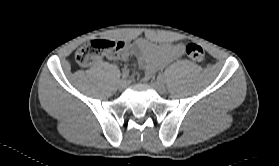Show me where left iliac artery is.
<instances>
[{
    "label": "left iliac artery",
    "instance_id": "44dca946",
    "mask_svg": "<svg viewBox=\"0 0 279 166\" xmlns=\"http://www.w3.org/2000/svg\"><path fill=\"white\" fill-rule=\"evenodd\" d=\"M164 78L165 77H164L163 74H159L157 79L160 80V81H164Z\"/></svg>",
    "mask_w": 279,
    "mask_h": 166
}]
</instances>
